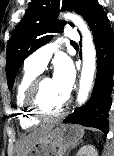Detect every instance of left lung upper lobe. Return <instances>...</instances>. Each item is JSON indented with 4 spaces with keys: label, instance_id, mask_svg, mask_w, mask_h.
Listing matches in <instances>:
<instances>
[{
    "label": "left lung upper lobe",
    "instance_id": "5c2ea615",
    "mask_svg": "<svg viewBox=\"0 0 114 156\" xmlns=\"http://www.w3.org/2000/svg\"><path fill=\"white\" fill-rule=\"evenodd\" d=\"M96 0H32L24 18L19 22L7 45L6 74L9 89L25 58L60 33L65 22L56 21L59 11H75L88 21ZM72 25V24H71Z\"/></svg>",
    "mask_w": 114,
    "mask_h": 156
}]
</instances>
